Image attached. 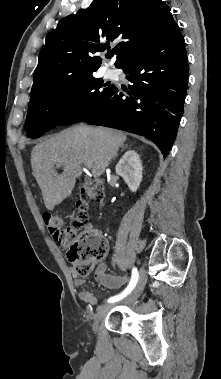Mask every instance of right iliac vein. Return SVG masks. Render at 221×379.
<instances>
[{
	"label": "right iliac vein",
	"instance_id": "63e3f726",
	"mask_svg": "<svg viewBox=\"0 0 221 379\" xmlns=\"http://www.w3.org/2000/svg\"><path fill=\"white\" fill-rule=\"evenodd\" d=\"M146 283V274L141 271L140 278L132 290V292L124 299L123 303L130 304L134 302L141 294ZM114 306V304H105L101 306L94 317V330L97 327L98 322L108 313V311Z\"/></svg>",
	"mask_w": 221,
	"mask_h": 379
}]
</instances>
